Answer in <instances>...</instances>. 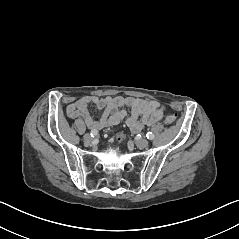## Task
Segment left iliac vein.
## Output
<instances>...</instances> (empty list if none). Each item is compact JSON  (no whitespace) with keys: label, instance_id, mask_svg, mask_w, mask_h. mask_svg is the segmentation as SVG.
Masks as SVG:
<instances>
[{"label":"left iliac vein","instance_id":"obj_1","mask_svg":"<svg viewBox=\"0 0 239 239\" xmlns=\"http://www.w3.org/2000/svg\"><path fill=\"white\" fill-rule=\"evenodd\" d=\"M135 144L139 148H146L149 145V142L146 139H140V140H137Z\"/></svg>","mask_w":239,"mask_h":239}]
</instances>
